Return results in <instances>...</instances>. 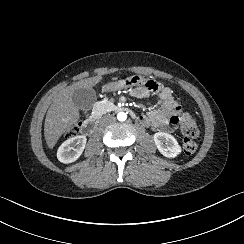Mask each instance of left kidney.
<instances>
[{
	"mask_svg": "<svg viewBox=\"0 0 244 244\" xmlns=\"http://www.w3.org/2000/svg\"><path fill=\"white\" fill-rule=\"evenodd\" d=\"M154 142L165 157L174 158L181 153V147L171 134L157 132L154 134Z\"/></svg>",
	"mask_w": 244,
	"mask_h": 244,
	"instance_id": "obj_1",
	"label": "left kidney"
}]
</instances>
